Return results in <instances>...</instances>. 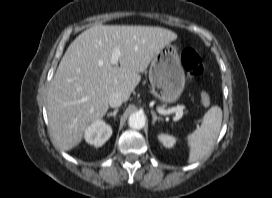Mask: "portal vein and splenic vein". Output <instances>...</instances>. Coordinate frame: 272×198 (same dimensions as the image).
Listing matches in <instances>:
<instances>
[{"instance_id": "portal-vein-and-splenic-vein-1", "label": "portal vein and splenic vein", "mask_w": 272, "mask_h": 198, "mask_svg": "<svg viewBox=\"0 0 272 198\" xmlns=\"http://www.w3.org/2000/svg\"><path fill=\"white\" fill-rule=\"evenodd\" d=\"M119 57H120V51L118 49H115L112 53L111 64L116 65L118 63ZM183 108H184L183 106L173 107L168 110L158 108L157 111L158 113L162 115H169L172 113H176V116L174 119L178 120L181 117V112L183 111Z\"/></svg>"}]
</instances>
